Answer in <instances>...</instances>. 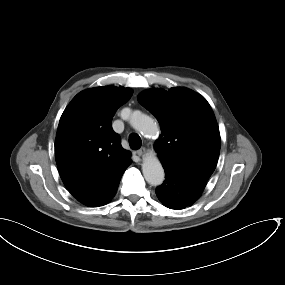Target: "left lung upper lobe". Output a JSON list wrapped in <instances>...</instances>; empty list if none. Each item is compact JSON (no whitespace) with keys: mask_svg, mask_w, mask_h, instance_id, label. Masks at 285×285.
<instances>
[{"mask_svg":"<svg viewBox=\"0 0 285 285\" xmlns=\"http://www.w3.org/2000/svg\"><path fill=\"white\" fill-rule=\"evenodd\" d=\"M138 101L158 120L155 142L162 165L208 180L220 153V133L214 113L200 94L186 88L149 89Z\"/></svg>","mask_w":285,"mask_h":285,"instance_id":"obj_1","label":"left lung upper lobe"}]
</instances>
